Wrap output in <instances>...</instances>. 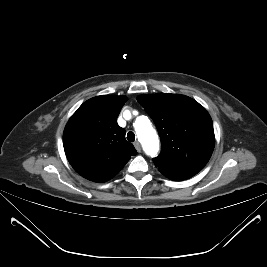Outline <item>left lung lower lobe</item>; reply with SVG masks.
<instances>
[{
	"label": "left lung lower lobe",
	"mask_w": 267,
	"mask_h": 267,
	"mask_svg": "<svg viewBox=\"0 0 267 267\" xmlns=\"http://www.w3.org/2000/svg\"><path fill=\"white\" fill-rule=\"evenodd\" d=\"M164 176H166L167 178L173 180V181H181L184 180L185 178L180 177L178 175H175L173 173L167 172V171H160Z\"/></svg>",
	"instance_id": "obj_1"
}]
</instances>
